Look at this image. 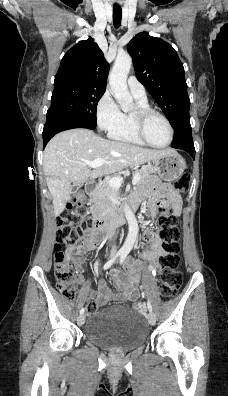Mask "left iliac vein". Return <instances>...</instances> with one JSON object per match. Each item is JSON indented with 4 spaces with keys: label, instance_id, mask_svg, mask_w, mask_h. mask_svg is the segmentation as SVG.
Returning <instances> with one entry per match:
<instances>
[{
    "label": "left iliac vein",
    "instance_id": "4c4485c4",
    "mask_svg": "<svg viewBox=\"0 0 228 396\" xmlns=\"http://www.w3.org/2000/svg\"><path fill=\"white\" fill-rule=\"evenodd\" d=\"M148 322H149L150 325H154V324H155V322H156V316H155L154 313L150 312V313L148 314Z\"/></svg>",
    "mask_w": 228,
    "mask_h": 396
}]
</instances>
